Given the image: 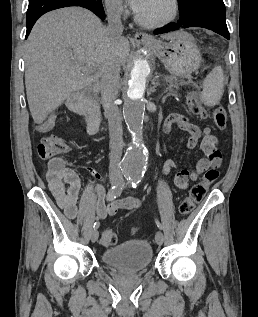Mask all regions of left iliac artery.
Masks as SVG:
<instances>
[{
    "label": "left iliac artery",
    "instance_id": "left-iliac-artery-1",
    "mask_svg": "<svg viewBox=\"0 0 258 317\" xmlns=\"http://www.w3.org/2000/svg\"><path fill=\"white\" fill-rule=\"evenodd\" d=\"M141 180H142V177H131V178L129 179V182H130V184H131V186H132L133 188H136V187L139 185V183L141 182ZM155 223H156L157 227L159 228V230H162V229H163V228H162V224H161L160 221H159L158 219H156V218H155Z\"/></svg>",
    "mask_w": 258,
    "mask_h": 317
}]
</instances>
